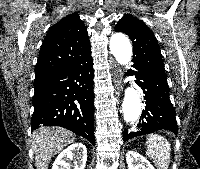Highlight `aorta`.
I'll use <instances>...</instances> for the list:
<instances>
[{
  "instance_id": "obj_1",
  "label": "aorta",
  "mask_w": 200,
  "mask_h": 169,
  "mask_svg": "<svg viewBox=\"0 0 200 169\" xmlns=\"http://www.w3.org/2000/svg\"><path fill=\"white\" fill-rule=\"evenodd\" d=\"M110 50L120 65H126L132 57V46L129 39L122 33L112 35ZM123 118L126 123L133 124L141 113V101L134 87H128L122 103Z\"/></svg>"
}]
</instances>
